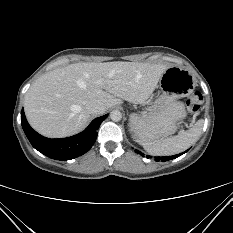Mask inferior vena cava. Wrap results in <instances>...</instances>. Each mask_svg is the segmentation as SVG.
<instances>
[{
	"instance_id": "inferior-vena-cava-1",
	"label": "inferior vena cava",
	"mask_w": 233,
	"mask_h": 233,
	"mask_svg": "<svg viewBox=\"0 0 233 233\" xmlns=\"http://www.w3.org/2000/svg\"><path fill=\"white\" fill-rule=\"evenodd\" d=\"M106 106L99 101H90L86 104V110L92 115H100L106 111Z\"/></svg>"
}]
</instances>
